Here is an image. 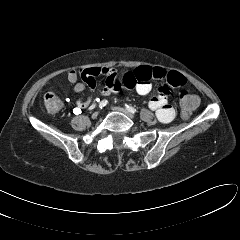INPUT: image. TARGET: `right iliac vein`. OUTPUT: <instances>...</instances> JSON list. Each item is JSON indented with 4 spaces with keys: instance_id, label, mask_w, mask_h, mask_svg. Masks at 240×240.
<instances>
[{
    "instance_id": "63e3f726",
    "label": "right iliac vein",
    "mask_w": 240,
    "mask_h": 240,
    "mask_svg": "<svg viewBox=\"0 0 240 240\" xmlns=\"http://www.w3.org/2000/svg\"><path fill=\"white\" fill-rule=\"evenodd\" d=\"M98 114H99L98 112H94L91 116L92 119H96L98 117Z\"/></svg>"
}]
</instances>
